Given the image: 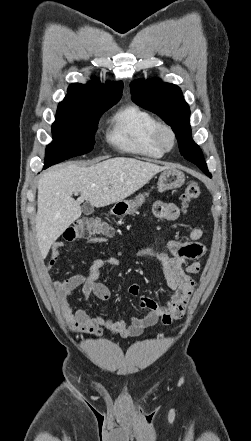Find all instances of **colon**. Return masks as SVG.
Listing matches in <instances>:
<instances>
[{
    "label": "colon",
    "instance_id": "obj_1",
    "mask_svg": "<svg viewBox=\"0 0 251 441\" xmlns=\"http://www.w3.org/2000/svg\"><path fill=\"white\" fill-rule=\"evenodd\" d=\"M199 195L200 187L198 183L195 181L188 183L182 194L183 208L188 209ZM112 234L113 229L106 221L99 218H81L64 231L63 238L67 242H72L95 236L109 237Z\"/></svg>",
    "mask_w": 251,
    "mask_h": 441
}]
</instances>
